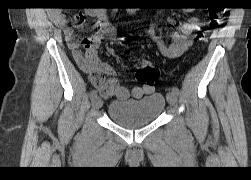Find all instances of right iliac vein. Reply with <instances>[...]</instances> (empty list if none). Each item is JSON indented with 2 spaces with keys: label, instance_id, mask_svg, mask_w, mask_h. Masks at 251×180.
<instances>
[{
  "label": "right iliac vein",
  "instance_id": "1",
  "mask_svg": "<svg viewBox=\"0 0 251 180\" xmlns=\"http://www.w3.org/2000/svg\"><path fill=\"white\" fill-rule=\"evenodd\" d=\"M102 100L100 99V97L96 96L92 99V107L93 109H99L102 107Z\"/></svg>",
  "mask_w": 251,
  "mask_h": 180
}]
</instances>
